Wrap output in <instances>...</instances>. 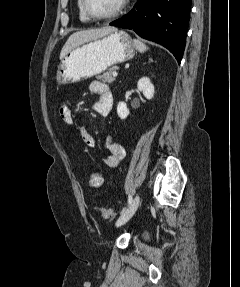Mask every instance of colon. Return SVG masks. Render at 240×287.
Listing matches in <instances>:
<instances>
[{
	"mask_svg": "<svg viewBox=\"0 0 240 287\" xmlns=\"http://www.w3.org/2000/svg\"><path fill=\"white\" fill-rule=\"evenodd\" d=\"M87 182L91 188L98 189L103 185V175L100 171L96 169H91L87 172ZM96 212L106 220H113L116 217L114 211L97 206L95 208Z\"/></svg>",
	"mask_w": 240,
	"mask_h": 287,
	"instance_id": "obj_1",
	"label": "colon"
}]
</instances>
